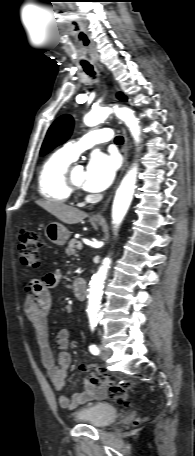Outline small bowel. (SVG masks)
I'll use <instances>...</instances> for the list:
<instances>
[{
    "label": "small bowel",
    "mask_w": 195,
    "mask_h": 456,
    "mask_svg": "<svg viewBox=\"0 0 195 456\" xmlns=\"http://www.w3.org/2000/svg\"><path fill=\"white\" fill-rule=\"evenodd\" d=\"M62 278L60 272L47 273L41 280L33 279L26 287L24 311L30 320L39 345L40 358L47 374L57 392V400L61 407L73 409L87 402L99 400L106 396V389L89 379L84 380V390L69 397L63 390L65 378L71 363L70 338L68 329L61 330L55 343L61 350L55 362L50 341L48 316L52 307L53 297L50 289L56 287Z\"/></svg>",
    "instance_id": "1"
}]
</instances>
